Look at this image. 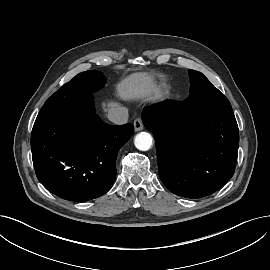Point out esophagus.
I'll use <instances>...</instances> for the list:
<instances>
[{
  "label": "esophagus",
  "mask_w": 270,
  "mask_h": 270,
  "mask_svg": "<svg viewBox=\"0 0 270 270\" xmlns=\"http://www.w3.org/2000/svg\"><path fill=\"white\" fill-rule=\"evenodd\" d=\"M133 125H134V130L136 132L142 130L143 127H144L143 122H142V120L140 118L135 119L134 122H133Z\"/></svg>",
  "instance_id": "esophagus-1"
}]
</instances>
